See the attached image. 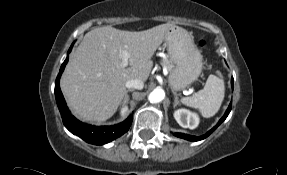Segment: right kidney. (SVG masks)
Wrapping results in <instances>:
<instances>
[{
  "label": "right kidney",
  "mask_w": 287,
  "mask_h": 175,
  "mask_svg": "<svg viewBox=\"0 0 287 175\" xmlns=\"http://www.w3.org/2000/svg\"><path fill=\"white\" fill-rule=\"evenodd\" d=\"M127 106H123L121 109V114L124 115L127 112Z\"/></svg>",
  "instance_id": "ca27d5eb"
}]
</instances>
